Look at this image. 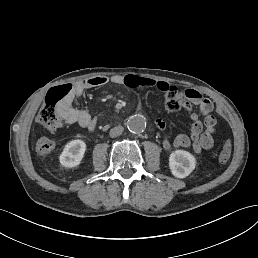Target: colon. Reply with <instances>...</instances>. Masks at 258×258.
Here are the masks:
<instances>
[{"label":"colon","mask_w":258,"mask_h":258,"mask_svg":"<svg viewBox=\"0 0 258 258\" xmlns=\"http://www.w3.org/2000/svg\"><path fill=\"white\" fill-rule=\"evenodd\" d=\"M74 85L66 83L51 88L38 114V122L42 128L49 132H57L63 125L60 108L74 96ZM184 102V92L170 86L165 92V108L168 111L179 110ZM232 146L226 141L219 152V162L224 164L230 159Z\"/></svg>","instance_id":"5ec220e1"}]
</instances>
